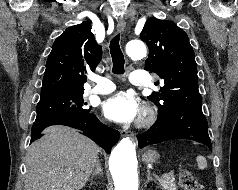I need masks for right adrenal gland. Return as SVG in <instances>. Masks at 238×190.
Masks as SVG:
<instances>
[{"mask_svg":"<svg viewBox=\"0 0 238 190\" xmlns=\"http://www.w3.org/2000/svg\"><path fill=\"white\" fill-rule=\"evenodd\" d=\"M102 174H103V170H102V167H101V163H100L99 158H97L96 167H95V170H94L93 174L91 175V179H93L96 175H101L102 176Z\"/></svg>","mask_w":238,"mask_h":190,"instance_id":"right-adrenal-gland-1","label":"right adrenal gland"}]
</instances>
